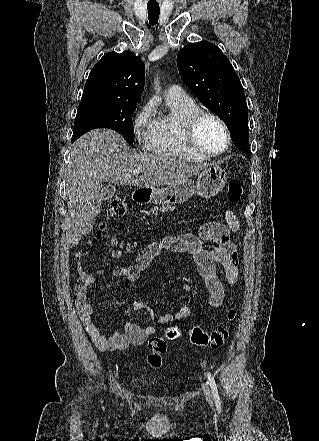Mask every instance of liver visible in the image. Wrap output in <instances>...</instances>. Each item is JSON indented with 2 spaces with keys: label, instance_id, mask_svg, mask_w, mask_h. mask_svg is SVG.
<instances>
[{
  "label": "liver",
  "instance_id": "6515ba94",
  "mask_svg": "<svg viewBox=\"0 0 319 441\" xmlns=\"http://www.w3.org/2000/svg\"><path fill=\"white\" fill-rule=\"evenodd\" d=\"M208 166V163L131 152L123 137L109 129L86 133L71 146L67 168V246H76L92 231L96 216L101 212L104 182L152 189L173 186ZM134 169L141 170L135 174L136 178L131 173Z\"/></svg>",
  "mask_w": 319,
  "mask_h": 441
}]
</instances>
